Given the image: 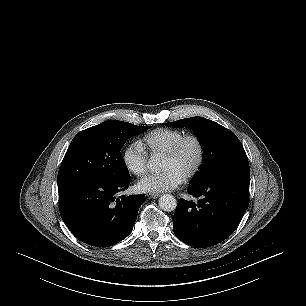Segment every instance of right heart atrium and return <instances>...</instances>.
Wrapping results in <instances>:
<instances>
[{
	"label": "right heart atrium",
	"instance_id": "obj_1",
	"mask_svg": "<svg viewBox=\"0 0 306 306\" xmlns=\"http://www.w3.org/2000/svg\"><path fill=\"white\" fill-rule=\"evenodd\" d=\"M122 159L126 169L135 176H142L148 170V153L140 143L128 144L123 152Z\"/></svg>",
	"mask_w": 306,
	"mask_h": 306
}]
</instances>
